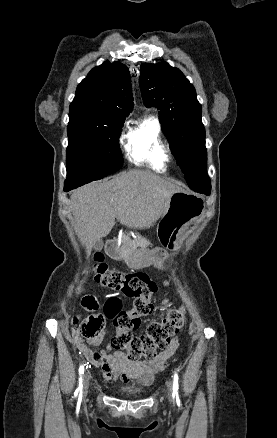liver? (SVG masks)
<instances>
[{
	"mask_svg": "<svg viewBox=\"0 0 277 438\" xmlns=\"http://www.w3.org/2000/svg\"><path fill=\"white\" fill-rule=\"evenodd\" d=\"M175 192L174 184L143 170L73 190L72 212L87 256L98 240L110 234L116 220L139 230L154 226Z\"/></svg>",
	"mask_w": 277,
	"mask_h": 438,
	"instance_id": "6515ba94",
	"label": "liver"
}]
</instances>
